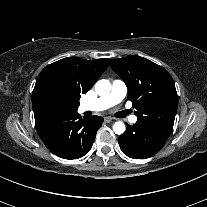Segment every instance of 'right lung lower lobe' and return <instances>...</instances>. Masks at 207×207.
<instances>
[{"label":"right lung lower lobe","instance_id":"obj_1","mask_svg":"<svg viewBox=\"0 0 207 207\" xmlns=\"http://www.w3.org/2000/svg\"><path fill=\"white\" fill-rule=\"evenodd\" d=\"M102 123L100 116L82 119L76 111L37 124L36 129L53 154L65 159H78L91 149Z\"/></svg>","mask_w":207,"mask_h":207}]
</instances>
